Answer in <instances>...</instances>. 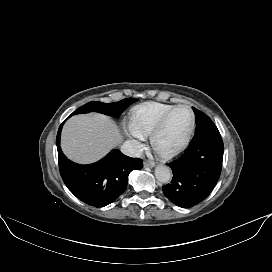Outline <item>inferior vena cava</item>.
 I'll use <instances>...</instances> for the list:
<instances>
[{"mask_svg":"<svg viewBox=\"0 0 272 272\" xmlns=\"http://www.w3.org/2000/svg\"><path fill=\"white\" fill-rule=\"evenodd\" d=\"M121 151L123 154L129 156V157H141L142 156V149L140 145L133 141L128 140L123 143L121 146Z\"/></svg>","mask_w":272,"mask_h":272,"instance_id":"inferior-vena-cava-1","label":"inferior vena cava"}]
</instances>
